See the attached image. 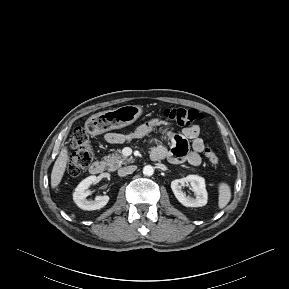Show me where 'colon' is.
Here are the masks:
<instances>
[{"instance_id":"1","label":"colon","mask_w":289,"mask_h":289,"mask_svg":"<svg viewBox=\"0 0 289 289\" xmlns=\"http://www.w3.org/2000/svg\"><path fill=\"white\" fill-rule=\"evenodd\" d=\"M163 116L179 125L185 126L190 125L195 121L201 120L203 114L197 111L196 109H186V108H169L163 112ZM96 124V123H95ZM95 125H90L89 129H94ZM71 148L73 152L69 156L67 164V173L76 177L83 173L93 159V152L89 142L88 132L85 128L78 127L73 131L71 141ZM205 155L212 164H217L219 158L214 150L206 146Z\"/></svg>"}]
</instances>
